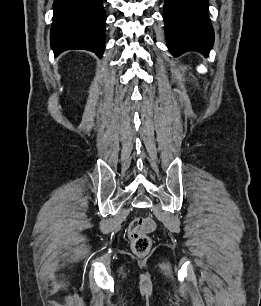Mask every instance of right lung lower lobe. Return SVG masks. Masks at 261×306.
Returning a JSON list of instances; mask_svg holds the SVG:
<instances>
[{
    "mask_svg": "<svg viewBox=\"0 0 261 306\" xmlns=\"http://www.w3.org/2000/svg\"><path fill=\"white\" fill-rule=\"evenodd\" d=\"M53 6L50 40L55 56L84 49L101 57L106 22L102 0H55Z\"/></svg>",
    "mask_w": 261,
    "mask_h": 306,
    "instance_id": "obj_1",
    "label": "right lung lower lobe"
}]
</instances>
